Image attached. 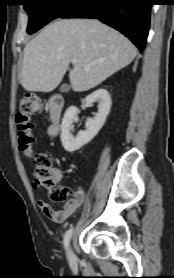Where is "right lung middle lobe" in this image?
<instances>
[{
    "label": "right lung middle lobe",
    "mask_w": 174,
    "mask_h": 278,
    "mask_svg": "<svg viewBox=\"0 0 174 278\" xmlns=\"http://www.w3.org/2000/svg\"><path fill=\"white\" fill-rule=\"evenodd\" d=\"M78 0H24L29 14L28 33H35L50 21L60 17Z\"/></svg>",
    "instance_id": "obj_1"
}]
</instances>
